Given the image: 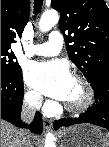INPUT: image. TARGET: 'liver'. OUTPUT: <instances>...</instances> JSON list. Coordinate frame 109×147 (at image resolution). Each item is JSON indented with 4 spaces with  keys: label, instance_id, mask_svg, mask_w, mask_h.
<instances>
[{
    "label": "liver",
    "instance_id": "1",
    "mask_svg": "<svg viewBox=\"0 0 109 147\" xmlns=\"http://www.w3.org/2000/svg\"><path fill=\"white\" fill-rule=\"evenodd\" d=\"M24 132L12 124L1 121V147H23Z\"/></svg>",
    "mask_w": 109,
    "mask_h": 147
}]
</instances>
